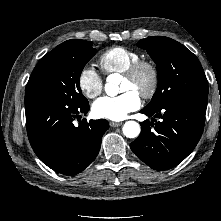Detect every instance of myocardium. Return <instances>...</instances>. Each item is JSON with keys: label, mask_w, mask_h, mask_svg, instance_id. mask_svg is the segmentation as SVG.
Returning a JSON list of instances; mask_svg holds the SVG:
<instances>
[{"label": "myocardium", "mask_w": 221, "mask_h": 221, "mask_svg": "<svg viewBox=\"0 0 221 221\" xmlns=\"http://www.w3.org/2000/svg\"><path fill=\"white\" fill-rule=\"evenodd\" d=\"M122 74L125 79L133 83H138L142 76L147 75V84L139 88L138 94L144 99H150L155 95L159 86L160 75L158 67L154 62L139 59Z\"/></svg>", "instance_id": "myocardium-1"}]
</instances>
